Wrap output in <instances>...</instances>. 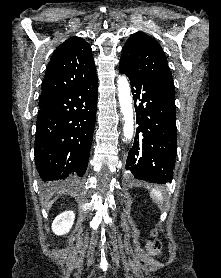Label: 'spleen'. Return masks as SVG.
<instances>
[{
	"instance_id": "obj_1",
	"label": "spleen",
	"mask_w": 221,
	"mask_h": 278,
	"mask_svg": "<svg viewBox=\"0 0 221 278\" xmlns=\"http://www.w3.org/2000/svg\"><path fill=\"white\" fill-rule=\"evenodd\" d=\"M150 196L155 203H163V196L160 191L153 189Z\"/></svg>"
}]
</instances>
